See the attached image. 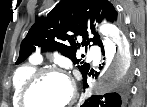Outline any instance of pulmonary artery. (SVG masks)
Returning <instances> with one entry per match:
<instances>
[{
	"label": "pulmonary artery",
	"mask_w": 147,
	"mask_h": 107,
	"mask_svg": "<svg viewBox=\"0 0 147 107\" xmlns=\"http://www.w3.org/2000/svg\"><path fill=\"white\" fill-rule=\"evenodd\" d=\"M89 54L94 58V62L97 63L99 58V50L97 48L92 47L89 51ZM34 60L38 62L41 61L39 57L34 58Z\"/></svg>",
	"instance_id": "obj_1"
}]
</instances>
